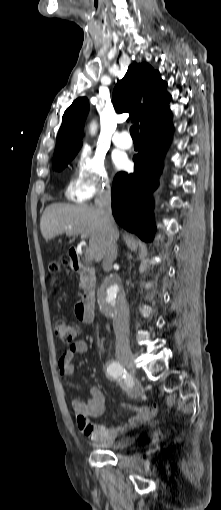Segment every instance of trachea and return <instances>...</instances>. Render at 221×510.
<instances>
[{
	"label": "trachea",
	"instance_id": "3493384b",
	"mask_svg": "<svg viewBox=\"0 0 221 510\" xmlns=\"http://www.w3.org/2000/svg\"><path fill=\"white\" fill-rule=\"evenodd\" d=\"M130 134L133 140H139V125L135 124L130 128Z\"/></svg>",
	"mask_w": 221,
	"mask_h": 510
}]
</instances>
